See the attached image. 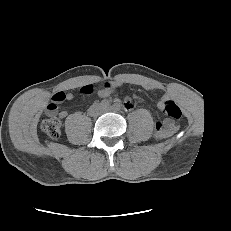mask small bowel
I'll return each instance as SVG.
<instances>
[{
  "label": "small bowel",
  "mask_w": 231,
  "mask_h": 231,
  "mask_svg": "<svg viewBox=\"0 0 231 231\" xmlns=\"http://www.w3.org/2000/svg\"><path fill=\"white\" fill-rule=\"evenodd\" d=\"M122 84H124L123 81H119V82H116V83H113V84H108L107 87H105L103 90L100 91V95L101 96H107V95H109L112 92V90L115 87L120 86ZM147 89L148 90H156V88H153V87H147ZM54 96H58L59 97V100L56 101V104L59 103V102L66 101V100L69 101V100H72L74 98V95L72 93H70V92H58ZM164 100L165 99H162L159 102V106L160 107H162ZM125 106H126L127 109H131L133 107L132 100L131 99H126L125 100ZM55 112L57 113V115L60 118H64L67 115V112L64 111V110L57 111V106H56Z\"/></svg>",
  "instance_id": "small-bowel-1"
}]
</instances>
